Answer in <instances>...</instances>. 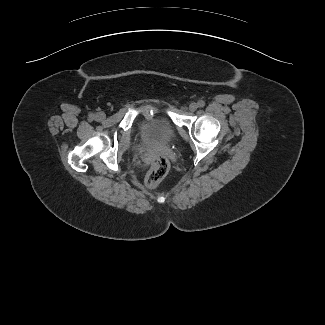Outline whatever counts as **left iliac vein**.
<instances>
[{"label":"left iliac vein","instance_id":"obj_1","mask_svg":"<svg viewBox=\"0 0 325 325\" xmlns=\"http://www.w3.org/2000/svg\"><path fill=\"white\" fill-rule=\"evenodd\" d=\"M197 108H198V105H197L196 103H191L190 106H189V110H190L191 112L196 111Z\"/></svg>","mask_w":325,"mask_h":325}]
</instances>
